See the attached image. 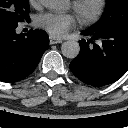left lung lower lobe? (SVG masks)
Segmentation results:
<instances>
[{"label":"left lung lower lobe","mask_w":128,"mask_h":128,"mask_svg":"<svg viewBox=\"0 0 128 128\" xmlns=\"http://www.w3.org/2000/svg\"><path fill=\"white\" fill-rule=\"evenodd\" d=\"M82 34L92 37L79 42L80 53L70 63V70L79 80L100 87L117 81L127 72L128 27L107 33L87 29ZM94 40L100 43L96 44Z\"/></svg>","instance_id":"left-lung-lower-lobe-1"}]
</instances>
